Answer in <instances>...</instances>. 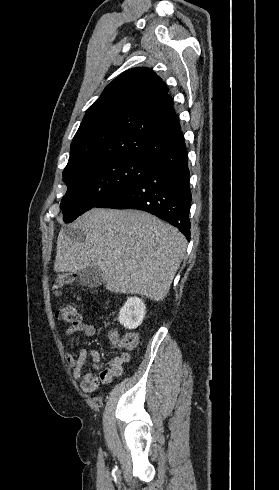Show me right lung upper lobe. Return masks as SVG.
<instances>
[{
  "label": "right lung upper lobe",
  "instance_id": "obj_1",
  "mask_svg": "<svg viewBox=\"0 0 279 490\" xmlns=\"http://www.w3.org/2000/svg\"><path fill=\"white\" fill-rule=\"evenodd\" d=\"M183 143L167 85L151 69L137 67L114 79L86 111L63 174L100 159L153 162Z\"/></svg>",
  "mask_w": 279,
  "mask_h": 490
}]
</instances>
